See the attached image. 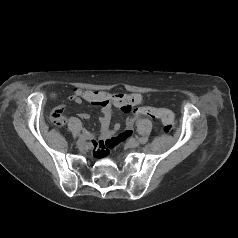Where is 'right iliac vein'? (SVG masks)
<instances>
[{
	"label": "right iliac vein",
	"instance_id": "63e3f726",
	"mask_svg": "<svg viewBox=\"0 0 238 238\" xmlns=\"http://www.w3.org/2000/svg\"><path fill=\"white\" fill-rule=\"evenodd\" d=\"M86 145H87V142L85 141V139H79V140L77 141V146H78L79 148H85Z\"/></svg>",
	"mask_w": 238,
	"mask_h": 238
}]
</instances>
